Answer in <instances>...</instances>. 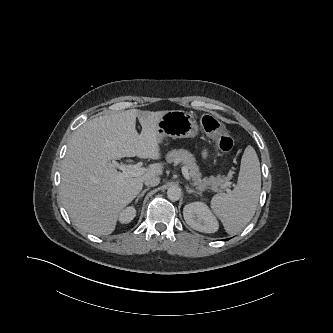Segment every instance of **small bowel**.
I'll list each match as a JSON object with an SVG mask.
<instances>
[{"mask_svg": "<svg viewBox=\"0 0 333 333\" xmlns=\"http://www.w3.org/2000/svg\"><path fill=\"white\" fill-rule=\"evenodd\" d=\"M203 154H204V155L206 154V151H205V150L203 151Z\"/></svg>", "mask_w": 333, "mask_h": 333, "instance_id": "small-bowel-1", "label": "small bowel"}]
</instances>
